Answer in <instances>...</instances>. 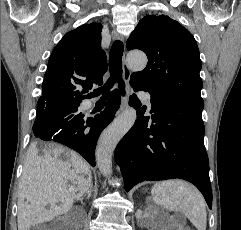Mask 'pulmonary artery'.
<instances>
[{
  "instance_id": "1",
  "label": "pulmonary artery",
  "mask_w": 241,
  "mask_h": 230,
  "mask_svg": "<svg viewBox=\"0 0 241 230\" xmlns=\"http://www.w3.org/2000/svg\"><path fill=\"white\" fill-rule=\"evenodd\" d=\"M140 96L149 104V95L145 93H140ZM90 106H91V102L85 103V107H90Z\"/></svg>"
}]
</instances>
